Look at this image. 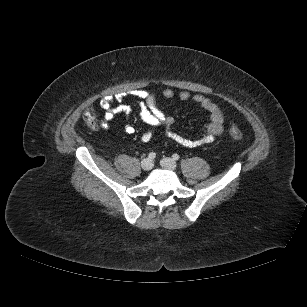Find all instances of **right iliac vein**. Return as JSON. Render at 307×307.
Instances as JSON below:
<instances>
[{"instance_id": "obj_1", "label": "right iliac vein", "mask_w": 307, "mask_h": 307, "mask_svg": "<svg viewBox=\"0 0 307 307\" xmlns=\"http://www.w3.org/2000/svg\"><path fill=\"white\" fill-rule=\"evenodd\" d=\"M141 167L143 170L149 171L153 168V162L149 158H145L141 161Z\"/></svg>"}]
</instances>
